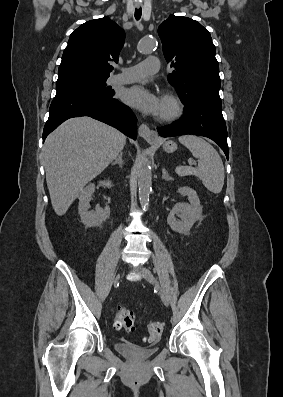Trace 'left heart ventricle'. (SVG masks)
<instances>
[{
  "mask_svg": "<svg viewBox=\"0 0 283 397\" xmlns=\"http://www.w3.org/2000/svg\"><path fill=\"white\" fill-rule=\"evenodd\" d=\"M169 109H170L169 103H167L166 101L162 100V109H161V113L160 114L168 111Z\"/></svg>",
  "mask_w": 283,
  "mask_h": 397,
  "instance_id": "1",
  "label": "left heart ventricle"
}]
</instances>
